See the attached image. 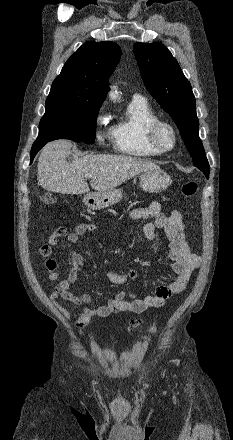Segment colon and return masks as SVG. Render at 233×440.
<instances>
[{
    "mask_svg": "<svg viewBox=\"0 0 233 440\" xmlns=\"http://www.w3.org/2000/svg\"><path fill=\"white\" fill-rule=\"evenodd\" d=\"M197 189H198V182H197V180H189V181H186L182 185L181 193L185 197H191V196L196 194ZM43 202L46 205H52V204L55 203V199L51 195H45L44 198H43ZM139 327H140V322L139 321H132L129 324V326H128V328L130 330H135V329H138ZM149 330L150 331H154L155 328L154 327H149Z\"/></svg>",
    "mask_w": 233,
    "mask_h": 440,
    "instance_id": "colon-1",
    "label": "colon"
}]
</instances>
